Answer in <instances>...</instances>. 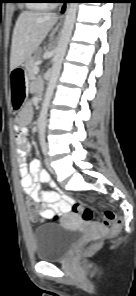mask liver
<instances>
[{
  "mask_svg": "<svg viewBox=\"0 0 136 296\" xmlns=\"http://www.w3.org/2000/svg\"><path fill=\"white\" fill-rule=\"evenodd\" d=\"M57 21L55 13L24 11L19 15L12 36L11 70L31 57ZM56 30L57 28L50 37Z\"/></svg>",
  "mask_w": 136,
  "mask_h": 296,
  "instance_id": "obj_1",
  "label": "liver"
}]
</instances>
